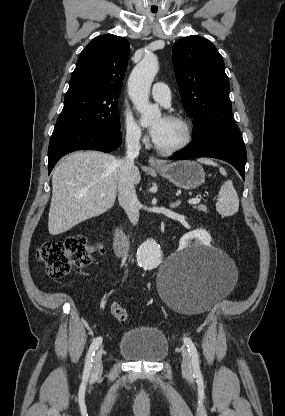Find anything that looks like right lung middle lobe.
<instances>
[{
  "label": "right lung middle lobe",
  "mask_w": 285,
  "mask_h": 416,
  "mask_svg": "<svg viewBox=\"0 0 285 416\" xmlns=\"http://www.w3.org/2000/svg\"><path fill=\"white\" fill-rule=\"evenodd\" d=\"M117 100L118 97L81 98L66 95L64 108L56 122L55 130L120 131Z\"/></svg>",
  "instance_id": "right-lung-middle-lobe-1"
}]
</instances>
